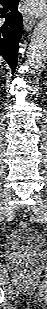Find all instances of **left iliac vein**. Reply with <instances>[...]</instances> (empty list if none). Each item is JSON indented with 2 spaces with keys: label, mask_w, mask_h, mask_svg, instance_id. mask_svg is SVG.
<instances>
[{
  "label": "left iliac vein",
  "mask_w": 47,
  "mask_h": 309,
  "mask_svg": "<svg viewBox=\"0 0 47 309\" xmlns=\"http://www.w3.org/2000/svg\"><path fill=\"white\" fill-rule=\"evenodd\" d=\"M34 198L37 200V204L32 207V211L36 216H40L44 213L45 199L40 194L34 195Z\"/></svg>",
  "instance_id": "4c4485c4"
}]
</instances>
